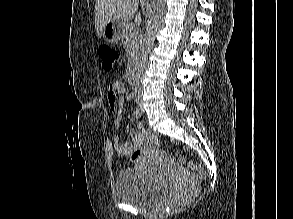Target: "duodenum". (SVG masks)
I'll return each instance as SVG.
<instances>
[{
    "label": "duodenum",
    "mask_w": 293,
    "mask_h": 219,
    "mask_svg": "<svg viewBox=\"0 0 293 219\" xmlns=\"http://www.w3.org/2000/svg\"><path fill=\"white\" fill-rule=\"evenodd\" d=\"M127 78H128V81L135 85V82H136V74H135V68L133 65H131L128 69V72H127Z\"/></svg>",
    "instance_id": "1"
}]
</instances>
